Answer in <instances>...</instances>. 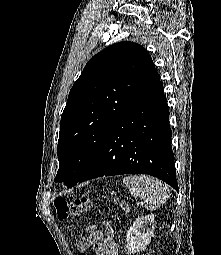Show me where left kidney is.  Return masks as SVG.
I'll return each instance as SVG.
<instances>
[{"instance_id":"5707ae66","label":"left kidney","mask_w":221,"mask_h":255,"mask_svg":"<svg viewBox=\"0 0 221 255\" xmlns=\"http://www.w3.org/2000/svg\"><path fill=\"white\" fill-rule=\"evenodd\" d=\"M155 230V215L148 214L137 218L126 234L125 252L131 255L144 251Z\"/></svg>"}]
</instances>
